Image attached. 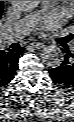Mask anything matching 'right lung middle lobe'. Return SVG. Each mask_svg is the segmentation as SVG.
<instances>
[{
	"label": "right lung middle lobe",
	"mask_w": 74,
	"mask_h": 122,
	"mask_svg": "<svg viewBox=\"0 0 74 122\" xmlns=\"http://www.w3.org/2000/svg\"><path fill=\"white\" fill-rule=\"evenodd\" d=\"M3 2L0 3V12L2 13Z\"/></svg>",
	"instance_id": "1"
}]
</instances>
